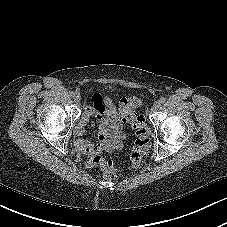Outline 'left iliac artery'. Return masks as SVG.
<instances>
[{"label": "left iliac artery", "mask_w": 227, "mask_h": 227, "mask_svg": "<svg viewBox=\"0 0 227 227\" xmlns=\"http://www.w3.org/2000/svg\"><path fill=\"white\" fill-rule=\"evenodd\" d=\"M165 101H166L165 97H161L160 100H159V102H160L161 104H163Z\"/></svg>", "instance_id": "left-iliac-artery-1"}]
</instances>
